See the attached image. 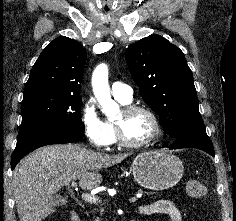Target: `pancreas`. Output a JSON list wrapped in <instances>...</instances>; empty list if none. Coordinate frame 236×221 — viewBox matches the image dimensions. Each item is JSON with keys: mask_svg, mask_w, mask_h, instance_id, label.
Returning a JSON list of instances; mask_svg holds the SVG:
<instances>
[{"mask_svg": "<svg viewBox=\"0 0 236 221\" xmlns=\"http://www.w3.org/2000/svg\"><path fill=\"white\" fill-rule=\"evenodd\" d=\"M138 192H142V190L141 189H139L138 190ZM94 211H99L101 214H102V212H103V209L101 208V209H99V210H97V209H94ZM95 221H100V218L99 217H95Z\"/></svg>", "mask_w": 236, "mask_h": 221, "instance_id": "pancreas-1", "label": "pancreas"}]
</instances>
